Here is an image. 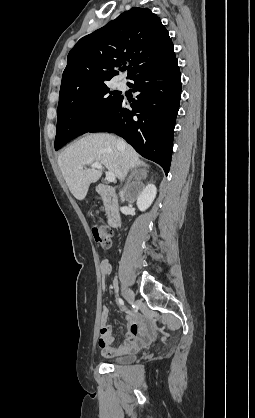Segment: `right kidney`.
<instances>
[{
  "label": "right kidney",
  "instance_id": "1",
  "mask_svg": "<svg viewBox=\"0 0 255 418\" xmlns=\"http://www.w3.org/2000/svg\"><path fill=\"white\" fill-rule=\"evenodd\" d=\"M157 189L154 184H148L137 198V206L140 211L148 209L156 197Z\"/></svg>",
  "mask_w": 255,
  "mask_h": 418
}]
</instances>
